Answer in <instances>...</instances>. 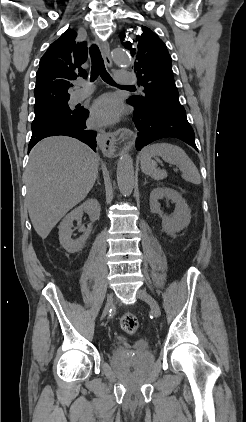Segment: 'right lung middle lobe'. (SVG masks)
Here are the masks:
<instances>
[{
	"label": "right lung middle lobe",
	"instance_id": "dd1d6c3e",
	"mask_svg": "<svg viewBox=\"0 0 246 422\" xmlns=\"http://www.w3.org/2000/svg\"><path fill=\"white\" fill-rule=\"evenodd\" d=\"M67 103L68 100H64L43 108L34 109L35 118L32 122L31 128L46 122L61 119H71L75 117L78 113V109H70Z\"/></svg>",
	"mask_w": 246,
	"mask_h": 422
}]
</instances>
